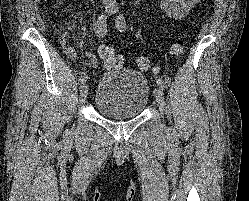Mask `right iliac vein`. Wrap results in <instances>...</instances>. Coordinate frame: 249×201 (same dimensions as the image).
Instances as JSON below:
<instances>
[{
	"mask_svg": "<svg viewBox=\"0 0 249 201\" xmlns=\"http://www.w3.org/2000/svg\"><path fill=\"white\" fill-rule=\"evenodd\" d=\"M107 10H108L109 12L112 11L110 7H108ZM87 95H88V87H87V85L84 83V84L81 86V88H80V102H81V103H84V102H85V100H86V98H87Z\"/></svg>",
	"mask_w": 249,
	"mask_h": 201,
	"instance_id": "1",
	"label": "right iliac vein"
}]
</instances>
